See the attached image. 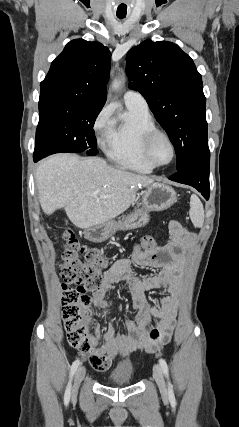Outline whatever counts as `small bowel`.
<instances>
[{"label":"small bowel","mask_w":239,"mask_h":427,"mask_svg":"<svg viewBox=\"0 0 239 427\" xmlns=\"http://www.w3.org/2000/svg\"><path fill=\"white\" fill-rule=\"evenodd\" d=\"M170 234L171 240L161 247L143 250L136 244L133 248L134 261L139 265L152 267L156 270L154 274L144 278L137 277L131 272L130 262L126 259L117 261L104 273L101 286L92 295L94 306L98 309L107 307L110 304L106 299L107 292L120 282H125L131 291L136 319L124 322L123 333H117L114 325L109 323L100 346L101 330L99 326L96 327L91 337V350L85 353L94 369L105 371L118 355H128L140 347L156 351L159 345L143 334V329L151 318L160 320L159 327L164 335V342L170 340L178 310L179 274L192 242L191 234L177 221L170 222ZM158 288H166L170 295L150 305L145 293Z\"/></svg>","instance_id":"c3829d8e"}]
</instances>
